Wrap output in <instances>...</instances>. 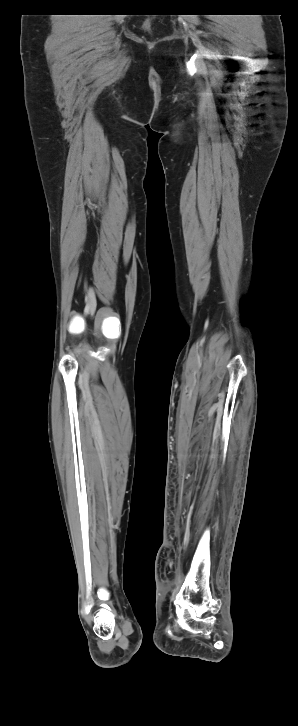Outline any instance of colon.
Masks as SVG:
<instances>
[{"instance_id": "1", "label": "colon", "mask_w": 298, "mask_h": 726, "mask_svg": "<svg viewBox=\"0 0 298 726\" xmlns=\"http://www.w3.org/2000/svg\"><path fill=\"white\" fill-rule=\"evenodd\" d=\"M144 26H145V28L147 30H150V22L149 21H146L145 24H144Z\"/></svg>"}]
</instances>
